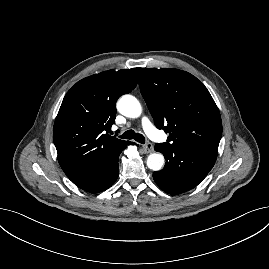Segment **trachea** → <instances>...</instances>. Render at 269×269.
Wrapping results in <instances>:
<instances>
[{
    "instance_id": "trachea-1",
    "label": "trachea",
    "mask_w": 269,
    "mask_h": 269,
    "mask_svg": "<svg viewBox=\"0 0 269 269\" xmlns=\"http://www.w3.org/2000/svg\"><path fill=\"white\" fill-rule=\"evenodd\" d=\"M120 137L122 139H134L141 144L145 143V137L140 133H136L134 130H127Z\"/></svg>"
}]
</instances>
